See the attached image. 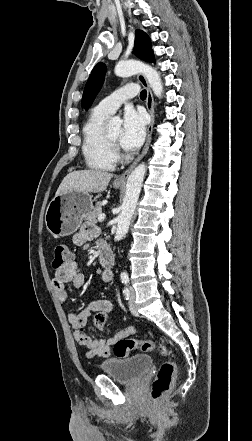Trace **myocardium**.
Listing matches in <instances>:
<instances>
[{"label":"myocardium","instance_id":"f54148a6","mask_svg":"<svg viewBox=\"0 0 252 441\" xmlns=\"http://www.w3.org/2000/svg\"><path fill=\"white\" fill-rule=\"evenodd\" d=\"M105 140H106V142H107L109 148L111 149V151H112V152L114 153V155H115L116 152H117V150H118V145H117V143H115L114 141H112V140L109 138V136H108L107 133H105Z\"/></svg>","mask_w":252,"mask_h":441}]
</instances>
